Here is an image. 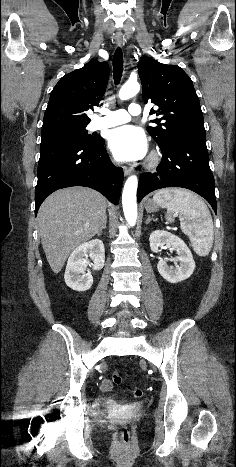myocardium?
Instances as JSON below:
<instances>
[{
  "label": "myocardium",
  "instance_id": "1",
  "mask_svg": "<svg viewBox=\"0 0 236 467\" xmlns=\"http://www.w3.org/2000/svg\"><path fill=\"white\" fill-rule=\"evenodd\" d=\"M160 162V156L157 152H153L148 160V167L155 168Z\"/></svg>",
  "mask_w": 236,
  "mask_h": 467
}]
</instances>
